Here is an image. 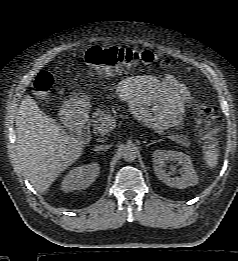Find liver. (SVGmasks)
Here are the masks:
<instances>
[{"label": "liver", "mask_w": 238, "mask_h": 261, "mask_svg": "<svg viewBox=\"0 0 238 261\" xmlns=\"http://www.w3.org/2000/svg\"><path fill=\"white\" fill-rule=\"evenodd\" d=\"M17 153L20 166L41 194L80 158L83 141L43 113L31 96L21 102L16 116Z\"/></svg>", "instance_id": "liver-1"}]
</instances>
